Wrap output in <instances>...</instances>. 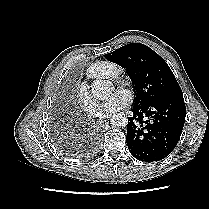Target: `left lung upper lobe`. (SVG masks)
I'll return each instance as SVG.
<instances>
[{"mask_svg":"<svg viewBox=\"0 0 209 209\" xmlns=\"http://www.w3.org/2000/svg\"><path fill=\"white\" fill-rule=\"evenodd\" d=\"M104 57L126 69L136 91L133 106L183 96L168 64L144 44H127Z\"/></svg>","mask_w":209,"mask_h":209,"instance_id":"5c2ea615","label":"left lung upper lobe"}]
</instances>
